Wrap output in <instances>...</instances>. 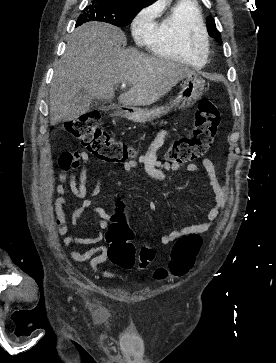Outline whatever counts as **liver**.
I'll list each match as a JSON object with an SVG mask.
<instances>
[{"mask_svg":"<svg viewBox=\"0 0 276 363\" xmlns=\"http://www.w3.org/2000/svg\"><path fill=\"white\" fill-rule=\"evenodd\" d=\"M123 31L107 23L90 22L70 35L65 52L54 69L50 89V124L70 115L73 98L83 91L91 99L111 100L114 85L131 89L118 101L126 107L151 105L195 71L173 61L123 49Z\"/></svg>","mask_w":276,"mask_h":363,"instance_id":"liver-1","label":"liver"}]
</instances>
